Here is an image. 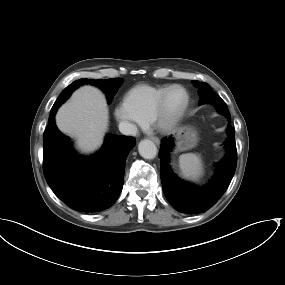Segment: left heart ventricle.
Masks as SVG:
<instances>
[{
	"instance_id": "left-heart-ventricle-1",
	"label": "left heart ventricle",
	"mask_w": 285,
	"mask_h": 285,
	"mask_svg": "<svg viewBox=\"0 0 285 285\" xmlns=\"http://www.w3.org/2000/svg\"><path fill=\"white\" fill-rule=\"evenodd\" d=\"M185 102V94L180 89L173 90L168 99V112L173 114L177 112Z\"/></svg>"
}]
</instances>
